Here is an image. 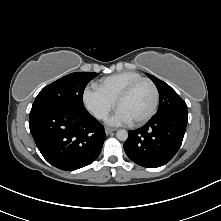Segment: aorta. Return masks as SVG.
<instances>
[{"mask_svg": "<svg viewBox=\"0 0 221 221\" xmlns=\"http://www.w3.org/2000/svg\"><path fill=\"white\" fill-rule=\"evenodd\" d=\"M116 136L120 141H126L128 138V132L124 129H120L116 132Z\"/></svg>", "mask_w": 221, "mask_h": 221, "instance_id": "762f6f07", "label": "aorta"}]
</instances>
